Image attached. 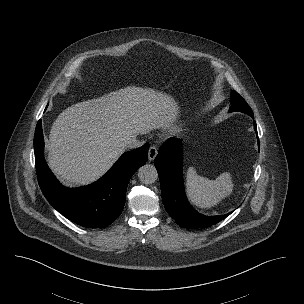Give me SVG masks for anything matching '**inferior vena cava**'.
Returning a JSON list of instances; mask_svg holds the SVG:
<instances>
[{
	"instance_id": "obj_1",
	"label": "inferior vena cava",
	"mask_w": 304,
	"mask_h": 304,
	"mask_svg": "<svg viewBox=\"0 0 304 304\" xmlns=\"http://www.w3.org/2000/svg\"><path fill=\"white\" fill-rule=\"evenodd\" d=\"M138 134H132L129 138L125 140V146L127 148H138L141 146V142L136 140Z\"/></svg>"
}]
</instances>
